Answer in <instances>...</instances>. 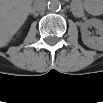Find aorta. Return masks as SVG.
<instances>
[{"label": "aorta", "mask_w": 103, "mask_h": 103, "mask_svg": "<svg viewBox=\"0 0 103 103\" xmlns=\"http://www.w3.org/2000/svg\"><path fill=\"white\" fill-rule=\"evenodd\" d=\"M48 9L52 12H57L61 9V3L59 0H50L48 2Z\"/></svg>", "instance_id": "762f6f07"}]
</instances>
